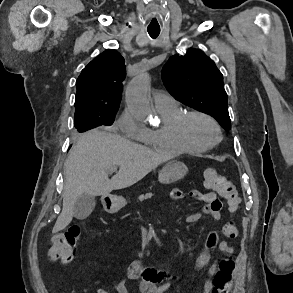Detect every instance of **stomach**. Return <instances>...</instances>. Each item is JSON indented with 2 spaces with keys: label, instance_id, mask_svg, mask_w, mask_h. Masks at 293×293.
I'll return each mask as SVG.
<instances>
[{
  "label": "stomach",
  "instance_id": "stomach-1",
  "mask_svg": "<svg viewBox=\"0 0 293 293\" xmlns=\"http://www.w3.org/2000/svg\"><path fill=\"white\" fill-rule=\"evenodd\" d=\"M188 171L187 166L180 161H169L159 172V182L161 184H172L182 179ZM126 200L122 196L109 195L103 198V206L109 211H118L126 205Z\"/></svg>",
  "mask_w": 293,
  "mask_h": 293
}]
</instances>
